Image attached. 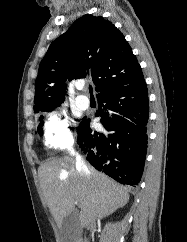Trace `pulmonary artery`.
<instances>
[{
  "mask_svg": "<svg viewBox=\"0 0 187 242\" xmlns=\"http://www.w3.org/2000/svg\"><path fill=\"white\" fill-rule=\"evenodd\" d=\"M77 88L79 90H82L83 89V86L82 85H78ZM76 104L82 108V109H87L89 107V99L84 96V95H79L77 98H76Z\"/></svg>",
  "mask_w": 187,
  "mask_h": 242,
  "instance_id": "pulmonary-artery-1",
  "label": "pulmonary artery"
}]
</instances>
